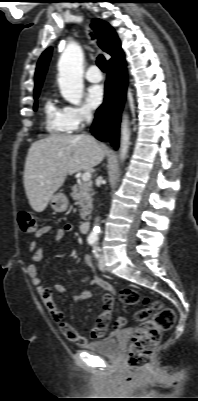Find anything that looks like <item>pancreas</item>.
<instances>
[{
  "label": "pancreas",
  "instance_id": "cf45deb5",
  "mask_svg": "<svg viewBox=\"0 0 198 401\" xmlns=\"http://www.w3.org/2000/svg\"><path fill=\"white\" fill-rule=\"evenodd\" d=\"M93 189L91 183H78L72 187L71 197L80 207V217L86 219L91 214Z\"/></svg>",
  "mask_w": 198,
  "mask_h": 401
}]
</instances>
